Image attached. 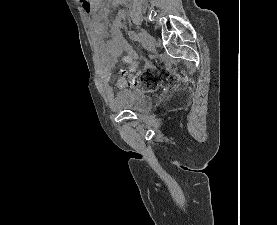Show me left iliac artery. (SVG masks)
I'll list each match as a JSON object with an SVG mask.
<instances>
[{"label":"left iliac artery","instance_id":"left-iliac-artery-1","mask_svg":"<svg viewBox=\"0 0 277 225\" xmlns=\"http://www.w3.org/2000/svg\"><path fill=\"white\" fill-rule=\"evenodd\" d=\"M128 35H129V37H130L133 41H137V40H138V37H137V34H136L135 31L129 30Z\"/></svg>","mask_w":277,"mask_h":225}]
</instances>
